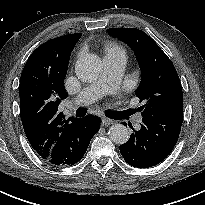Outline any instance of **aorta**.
Wrapping results in <instances>:
<instances>
[{"label": "aorta", "instance_id": "aorta-1", "mask_svg": "<svg viewBox=\"0 0 205 205\" xmlns=\"http://www.w3.org/2000/svg\"><path fill=\"white\" fill-rule=\"evenodd\" d=\"M102 72V61L95 54H85L78 58L75 64V73L83 82H93L98 79ZM109 138L116 144H124L129 139L126 126L114 124L109 128Z\"/></svg>", "mask_w": 205, "mask_h": 205}]
</instances>
